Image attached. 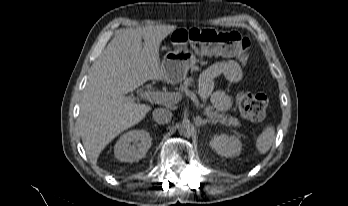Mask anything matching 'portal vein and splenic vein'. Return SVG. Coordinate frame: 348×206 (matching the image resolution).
Returning <instances> with one entry per match:
<instances>
[{
  "label": "portal vein and splenic vein",
  "instance_id": "portal-vein-and-splenic-vein-1",
  "mask_svg": "<svg viewBox=\"0 0 348 206\" xmlns=\"http://www.w3.org/2000/svg\"><path fill=\"white\" fill-rule=\"evenodd\" d=\"M145 98L150 101H155L163 104H176L182 99V95L180 93H172V92H145ZM186 96L190 97L193 101L194 105L197 109L201 108V104L196 96V94L190 90L186 91Z\"/></svg>",
  "mask_w": 348,
  "mask_h": 206
}]
</instances>
